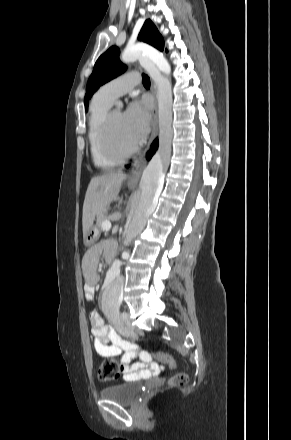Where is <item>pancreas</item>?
I'll return each mask as SVG.
<instances>
[{
    "label": "pancreas",
    "instance_id": "obj_1",
    "mask_svg": "<svg viewBox=\"0 0 291 440\" xmlns=\"http://www.w3.org/2000/svg\"><path fill=\"white\" fill-rule=\"evenodd\" d=\"M107 218V210L104 208L97 214L96 227L100 231L102 229V223Z\"/></svg>",
    "mask_w": 291,
    "mask_h": 440
}]
</instances>
